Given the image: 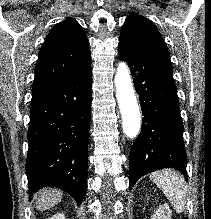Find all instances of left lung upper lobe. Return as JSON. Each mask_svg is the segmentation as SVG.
Returning <instances> with one entry per match:
<instances>
[{
  "instance_id": "obj_1",
  "label": "left lung upper lobe",
  "mask_w": 211,
  "mask_h": 219,
  "mask_svg": "<svg viewBox=\"0 0 211 219\" xmlns=\"http://www.w3.org/2000/svg\"><path fill=\"white\" fill-rule=\"evenodd\" d=\"M120 44L147 53L168 54V48L156 27L146 18L129 15L120 33Z\"/></svg>"
}]
</instances>
